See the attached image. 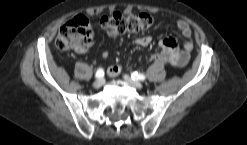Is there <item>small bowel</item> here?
<instances>
[{
  "instance_id": "1",
  "label": "small bowel",
  "mask_w": 247,
  "mask_h": 145,
  "mask_svg": "<svg viewBox=\"0 0 247 145\" xmlns=\"http://www.w3.org/2000/svg\"><path fill=\"white\" fill-rule=\"evenodd\" d=\"M177 28L180 31L184 41L181 46L172 38H164L158 42L161 49L159 54L153 55L152 60L155 62H167L173 67L182 68L185 67L191 58V52L193 50L192 31L189 24L185 20H179L177 22ZM108 35L111 39L118 37L117 33L108 31ZM152 43V37L145 35L135 39L134 44L141 47H146ZM78 53H86L88 47L76 50ZM109 53L103 51L101 57L103 59L108 58ZM122 70L121 64L111 65L107 73L110 77H117Z\"/></svg>"
}]
</instances>
